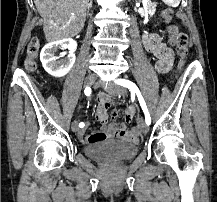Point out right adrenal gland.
I'll use <instances>...</instances> for the list:
<instances>
[{"label":"right adrenal gland","instance_id":"right-adrenal-gland-1","mask_svg":"<svg viewBox=\"0 0 217 202\" xmlns=\"http://www.w3.org/2000/svg\"><path fill=\"white\" fill-rule=\"evenodd\" d=\"M92 8V0H90L88 6H87V14H89V10Z\"/></svg>","mask_w":217,"mask_h":202}]
</instances>
